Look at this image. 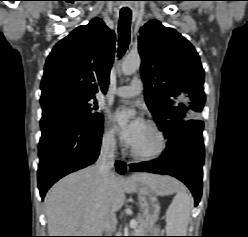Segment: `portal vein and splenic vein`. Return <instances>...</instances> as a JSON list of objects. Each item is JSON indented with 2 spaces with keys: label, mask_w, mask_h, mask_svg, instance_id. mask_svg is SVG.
Returning a JSON list of instances; mask_svg holds the SVG:
<instances>
[{
  "label": "portal vein and splenic vein",
  "mask_w": 248,
  "mask_h": 237,
  "mask_svg": "<svg viewBox=\"0 0 248 237\" xmlns=\"http://www.w3.org/2000/svg\"><path fill=\"white\" fill-rule=\"evenodd\" d=\"M130 228H136L137 227V221L132 219L129 224Z\"/></svg>",
  "instance_id": "1"
}]
</instances>
